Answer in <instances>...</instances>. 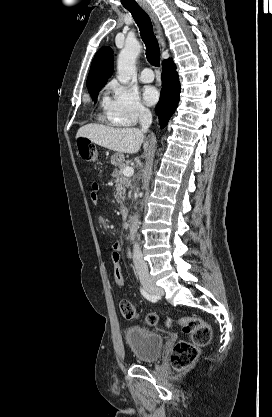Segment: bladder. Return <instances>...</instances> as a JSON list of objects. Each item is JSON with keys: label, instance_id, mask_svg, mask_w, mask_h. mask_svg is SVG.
<instances>
[{"label": "bladder", "instance_id": "bladder-1", "mask_svg": "<svg viewBox=\"0 0 272 417\" xmlns=\"http://www.w3.org/2000/svg\"><path fill=\"white\" fill-rule=\"evenodd\" d=\"M125 340L135 358L141 362L157 361L164 347V337L141 327H129Z\"/></svg>", "mask_w": 272, "mask_h": 417}]
</instances>
